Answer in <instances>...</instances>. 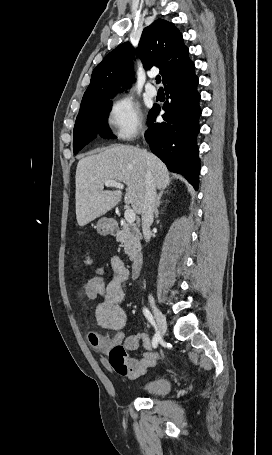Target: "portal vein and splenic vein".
Wrapping results in <instances>:
<instances>
[{"label":"portal vein and splenic vein","mask_w":272,"mask_h":455,"mask_svg":"<svg viewBox=\"0 0 272 455\" xmlns=\"http://www.w3.org/2000/svg\"><path fill=\"white\" fill-rule=\"evenodd\" d=\"M104 184L106 187H116L119 189H123L124 187L122 183L115 180H107ZM124 217L127 223L132 224L136 219V214L134 210L128 208L125 210Z\"/></svg>","instance_id":"portal-vein-and-splenic-vein-1"}]
</instances>
